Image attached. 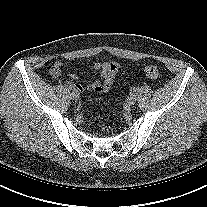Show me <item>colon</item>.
I'll use <instances>...</instances> for the list:
<instances>
[{"label": "colon", "mask_w": 207, "mask_h": 207, "mask_svg": "<svg viewBox=\"0 0 207 207\" xmlns=\"http://www.w3.org/2000/svg\"><path fill=\"white\" fill-rule=\"evenodd\" d=\"M144 74L150 79H157L159 77V69L151 64H146L142 67Z\"/></svg>", "instance_id": "5ec220e1"}]
</instances>
